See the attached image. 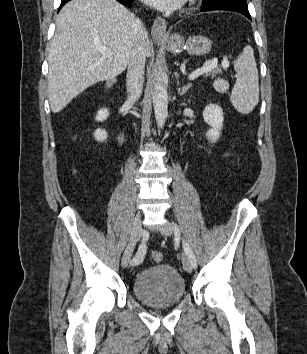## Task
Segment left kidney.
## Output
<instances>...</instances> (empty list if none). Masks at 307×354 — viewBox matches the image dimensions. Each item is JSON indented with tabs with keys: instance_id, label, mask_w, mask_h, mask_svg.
Here are the masks:
<instances>
[{
	"instance_id": "1",
	"label": "left kidney",
	"mask_w": 307,
	"mask_h": 354,
	"mask_svg": "<svg viewBox=\"0 0 307 354\" xmlns=\"http://www.w3.org/2000/svg\"><path fill=\"white\" fill-rule=\"evenodd\" d=\"M203 118L205 122L211 126V128L206 132V137L212 143L217 142L220 137L224 121L222 108L216 104L207 105L203 111Z\"/></svg>"
}]
</instances>
